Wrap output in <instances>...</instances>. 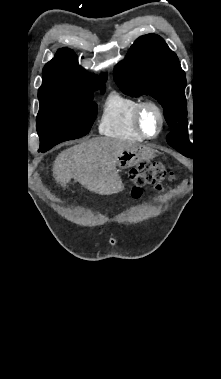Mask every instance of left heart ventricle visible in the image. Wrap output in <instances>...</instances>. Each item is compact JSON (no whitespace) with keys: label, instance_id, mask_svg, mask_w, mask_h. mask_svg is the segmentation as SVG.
<instances>
[{"label":"left heart ventricle","instance_id":"left-heart-ventricle-1","mask_svg":"<svg viewBox=\"0 0 221 379\" xmlns=\"http://www.w3.org/2000/svg\"><path fill=\"white\" fill-rule=\"evenodd\" d=\"M143 127L145 131L149 134H153L156 132L158 128V117L153 110L148 109L144 112Z\"/></svg>","mask_w":221,"mask_h":379}]
</instances>
